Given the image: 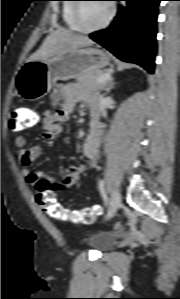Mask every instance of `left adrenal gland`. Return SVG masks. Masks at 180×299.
<instances>
[{"label": "left adrenal gland", "instance_id": "left-adrenal-gland-1", "mask_svg": "<svg viewBox=\"0 0 180 299\" xmlns=\"http://www.w3.org/2000/svg\"><path fill=\"white\" fill-rule=\"evenodd\" d=\"M115 84L114 79H110V81L106 84V93H110L111 89L115 87Z\"/></svg>", "mask_w": 180, "mask_h": 299}]
</instances>
